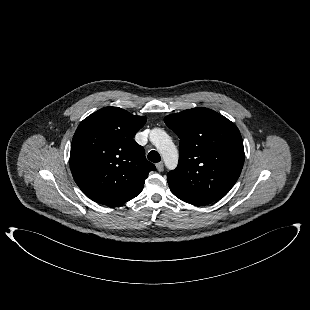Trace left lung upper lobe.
Wrapping results in <instances>:
<instances>
[{"label":"left lung upper lobe","mask_w":310,"mask_h":310,"mask_svg":"<svg viewBox=\"0 0 310 310\" xmlns=\"http://www.w3.org/2000/svg\"><path fill=\"white\" fill-rule=\"evenodd\" d=\"M180 138L179 163L167 175L180 194L218 201L234 186L244 164V147L236 125L207 108H193L164 118Z\"/></svg>","instance_id":"5c2ea615"}]
</instances>
